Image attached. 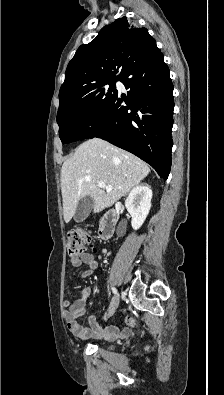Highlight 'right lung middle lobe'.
I'll return each instance as SVG.
<instances>
[{"label": "right lung middle lobe", "mask_w": 224, "mask_h": 395, "mask_svg": "<svg viewBox=\"0 0 224 395\" xmlns=\"http://www.w3.org/2000/svg\"><path fill=\"white\" fill-rule=\"evenodd\" d=\"M112 79L66 98L59 105L57 123L63 144L84 139L100 115L117 95ZM109 84V87L105 85Z\"/></svg>", "instance_id": "right-lung-middle-lobe-1"}]
</instances>
